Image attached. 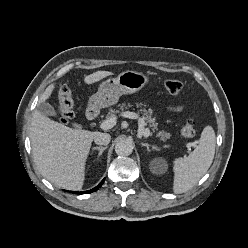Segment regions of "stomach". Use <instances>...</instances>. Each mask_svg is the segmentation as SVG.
<instances>
[{"mask_svg":"<svg viewBox=\"0 0 248 248\" xmlns=\"http://www.w3.org/2000/svg\"><path fill=\"white\" fill-rule=\"evenodd\" d=\"M148 76L142 72L124 71L116 78L104 81L89 99V107L95 110L116 104L123 94H132L141 90L147 83Z\"/></svg>","mask_w":248,"mask_h":248,"instance_id":"stomach-1","label":"stomach"}]
</instances>
